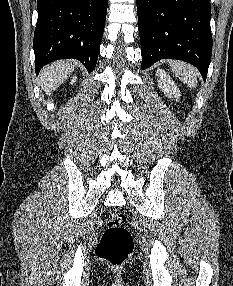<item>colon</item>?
Listing matches in <instances>:
<instances>
[{
    "label": "colon",
    "mask_w": 233,
    "mask_h": 286,
    "mask_svg": "<svg viewBox=\"0 0 233 286\" xmlns=\"http://www.w3.org/2000/svg\"><path fill=\"white\" fill-rule=\"evenodd\" d=\"M126 216L118 211L111 212L106 229L96 247L100 260L112 267H121L133 251V239L126 227Z\"/></svg>",
    "instance_id": "1"
}]
</instances>
